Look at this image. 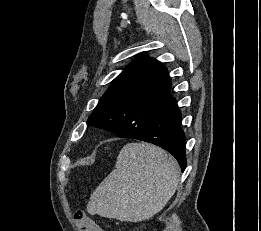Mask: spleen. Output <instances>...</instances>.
<instances>
[{"mask_svg":"<svg viewBox=\"0 0 261 231\" xmlns=\"http://www.w3.org/2000/svg\"><path fill=\"white\" fill-rule=\"evenodd\" d=\"M179 182V166L167 152L146 143H129L113 170L90 196L87 210L125 222L146 220L166 205Z\"/></svg>","mask_w":261,"mask_h":231,"instance_id":"3e777b00","label":"spleen"}]
</instances>
